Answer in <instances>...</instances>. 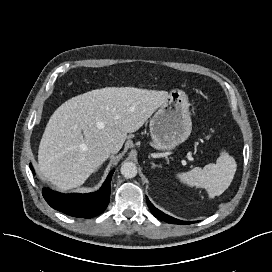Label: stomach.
Listing matches in <instances>:
<instances>
[{"mask_svg": "<svg viewBox=\"0 0 272 272\" xmlns=\"http://www.w3.org/2000/svg\"><path fill=\"white\" fill-rule=\"evenodd\" d=\"M149 127L151 146L157 150H173L187 140L191 134L192 121L185 92L173 89L151 118Z\"/></svg>", "mask_w": 272, "mask_h": 272, "instance_id": "0dacf381", "label": "stomach"}]
</instances>
